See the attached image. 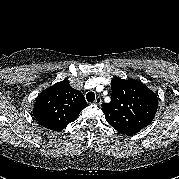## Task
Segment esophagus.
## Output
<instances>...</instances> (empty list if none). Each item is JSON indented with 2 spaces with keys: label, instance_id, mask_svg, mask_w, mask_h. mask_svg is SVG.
Masks as SVG:
<instances>
[{
  "label": "esophagus",
  "instance_id": "1",
  "mask_svg": "<svg viewBox=\"0 0 179 179\" xmlns=\"http://www.w3.org/2000/svg\"><path fill=\"white\" fill-rule=\"evenodd\" d=\"M101 103H102V99L100 97H97L94 101V104L98 106L101 105Z\"/></svg>",
  "mask_w": 179,
  "mask_h": 179
}]
</instances>
